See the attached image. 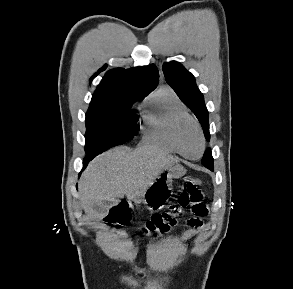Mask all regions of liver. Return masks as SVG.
Instances as JSON below:
<instances>
[{
  "mask_svg": "<svg viewBox=\"0 0 293 289\" xmlns=\"http://www.w3.org/2000/svg\"><path fill=\"white\" fill-rule=\"evenodd\" d=\"M178 158L156 146L144 145L134 151L114 148L96 157L82 173L79 182L81 205L89 218L97 216L94 205L126 196L139 199L169 165Z\"/></svg>",
  "mask_w": 293,
  "mask_h": 289,
  "instance_id": "6515ba94",
  "label": "liver"
}]
</instances>
